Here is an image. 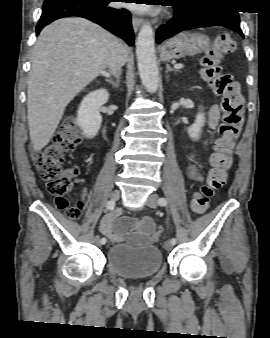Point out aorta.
<instances>
[{
	"mask_svg": "<svg viewBox=\"0 0 270 338\" xmlns=\"http://www.w3.org/2000/svg\"><path fill=\"white\" fill-rule=\"evenodd\" d=\"M136 55L143 85L149 92H156L159 86V74L155 55L154 32L149 23H144L138 33Z\"/></svg>",
	"mask_w": 270,
	"mask_h": 338,
	"instance_id": "aorta-1",
	"label": "aorta"
}]
</instances>
